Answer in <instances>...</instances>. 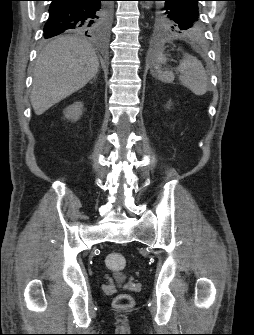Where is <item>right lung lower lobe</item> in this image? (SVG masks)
Segmentation results:
<instances>
[{
	"label": "right lung lower lobe",
	"instance_id": "obj_1",
	"mask_svg": "<svg viewBox=\"0 0 254 335\" xmlns=\"http://www.w3.org/2000/svg\"><path fill=\"white\" fill-rule=\"evenodd\" d=\"M102 5L103 0H51L44 38H51L65 31L89 32L100 18Z\"/></svg>",
	"mask_w": 254,
	"mask_h": 335
}]
</instances>
